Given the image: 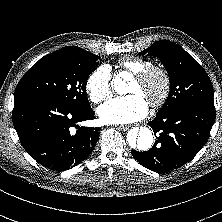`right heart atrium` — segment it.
Segmentation results:
<instances>
[{"label": "right heart atrium", "instance_id": "obj_1", "mask_svg": "<svg viewBox=\"0 0 222 222\" xmlns=\"http://www.w3.org/2000/svg\"><path fill=\"white\" fill-rule=\"evenodd\" d=\"M86 91L89 99L95 104L111 97V73L107 66H100L89 75L86 81Z\"/></svg>", "mask_w": 222, "mask_h": 222}]
</instances>
